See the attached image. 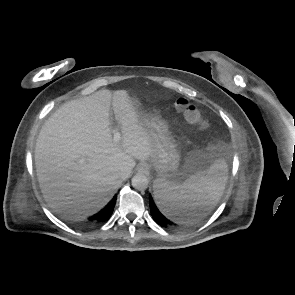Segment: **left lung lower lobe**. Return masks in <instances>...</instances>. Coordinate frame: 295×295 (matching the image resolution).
I'll return each instance as SVG.
<instances>
[{
    "instance_id": "0a47b994",
    "label": "left lung lower lobe",
    "mask_w": 295,
    "mask_h": 295,
    "mask_svg": "<svg viewBox=\"0 0 295 295\" xmlns=\"http://www.w3.org/2000/svg\"><path fill=\"white\" fill-rule=\"evenodd\" d=\"M150 210L154 220L161 226L168 227L173 225V223L159 211L152 198H150Z\"/></svg>"
}]
</instances>
